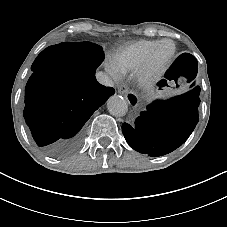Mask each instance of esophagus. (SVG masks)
Instances as JSON below:
<instances>
[{
  "instance_id": "obj_1",
  "label": "esophagus",
  "mask_w": 227,
  "mask_h": 227,
  "mask_svg": "<svg viewBox=\"0 0 227 227\" xmlns=\"http://www.w3.org/2000/svg\"><path fill=\"white\" fill-rule=\"evenodd\" d=\"M117 90L118 93L121 94L133 108H136L139 105L140 100L138 96L134 92L130 91L125 84L119 82L117 84Z\"/></svg>"
}]
</instances>
